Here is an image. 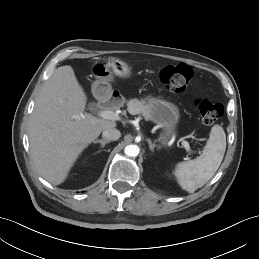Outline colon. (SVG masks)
Wrapping results in <instances>:
<instances>
[{
	"mask_svg": "<svg viewBox=\"0 0 259 259\" xmlns=\"http://www.w3.org/2000/svg\"><path fill=\"white\" fill-rule=\"evenodd\" d=\"M193 76L192 69L184 64L170 65L160 71V80L173 93L183 92ZM201 120L205 125H213L223 115L222 104L202 99L196 103Z\"/></svg>",
	"mask_w": 259,
	"mask_h": 259,
	"instance_id": "colon-1",
	"label": "colon"
}]
</instances>
